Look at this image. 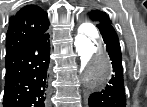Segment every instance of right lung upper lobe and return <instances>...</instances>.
Listing matches in <instances>:
<instances>
[{
    "instance_id": "obj_1",
    "label": "right lung upper lobe",
    "mask_w": 147,
    "mask_h": 107,
    "mask_svg": "<svg viewBox=\"0 0 147 107\" xmlns=\"http://www.w3.org/2000/svg\"><path fill=\"white\" fill-rule=\"evenodd\" d=\"M47 13L37 5H26L11 18L6 35V55L46 33Z\"/></svg>"
}]
</instances>
